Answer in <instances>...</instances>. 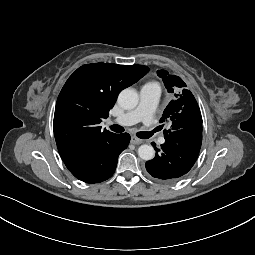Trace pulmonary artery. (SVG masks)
I'll return each instance as SVG.
<instances>
[{
    "label": "pulmonary artery",
    "mask_w": 255,
    "mask_h": 255,
    "mask_svg": "<svg viewBox=\"0 0 255 255\" xmlns=\"http://www.w3.org/2000/svg\"><path fill=\"white\" fill-rule=\"evenodd\" d=\"M160 93L161 88L157 83L145 84L141 88L140 101L137 107L118 116L115 122L123 126H130L137 122H143L148 127L151 126ZM159 142L164 143L165 140L160 138Z\"/></svg>",
    "instance_id": "pulmonary-artery-1"
}]
</instances>
